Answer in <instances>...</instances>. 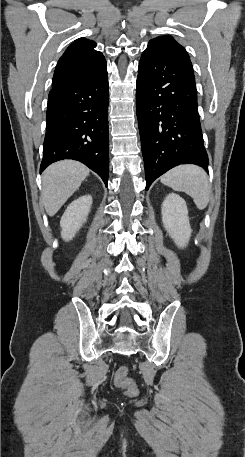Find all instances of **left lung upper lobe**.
Here are the masks:
<instances>
[{"label":"left lung upper lobe","instance_id":"5c2ea615","mask_svg":"<svg viewBox=\"0 0 245 457\" xmlns=\"http://www.w3.org/2000/svg\"><path fill=\"white\" fill-rule=\"evenodd\" d=\"M168 39L173 40V39H172L171 37H169V36H161V37L154 38V39H152V40L149 42L148 47H151L152 45H154V44H155L156 42H158V41H161V40H168ZM173 41H174V40H173ZM175 42H176V41H175ZM176 43H177V42H176ZM177 44H178V43H177ZM178 45L181 47V49H182L184 55L186 56L187 60H188L189 63L191 64L190 58H189V56H188L186 50L184 49V47H182L180 44H178Z\"/></svg>","mask_w":245,"mask_h":457}]
</instances>
